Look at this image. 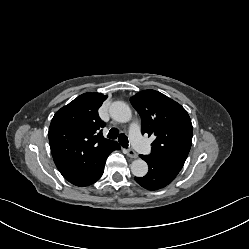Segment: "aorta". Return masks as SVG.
<instances>
[{"mask_svg": "<svg viewBox=\"0 0 249 249\" xmlns=\"http://www.w3.org/2000/svg\"><path fill=\"white\" fill-rule=\"evenodd\" d=\"M109 112L112 119L120 123H126L130 121L132 117L130 107L122 101L113 102ZM131 172L136 177H144L148 172V165L142 159L134 160L131 164Z\"/></svg>", "mask_w": 249, "mask_h": 249, "instance_id": "1", "label": "aorta"}]
</instances>
